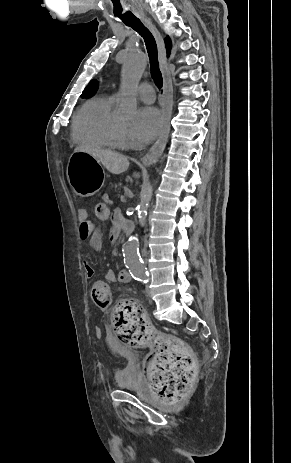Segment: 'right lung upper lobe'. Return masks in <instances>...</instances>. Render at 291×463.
<instances>
[{
  "label": "right lung upper lobe",
  "mask_w": 291,
  "mask_h": 463,
  "mask_svg": "<svg viewBox=\"0 0 291 463\" xmlns=\"http://www.w3.org/2000/svg\"><path fill=\"white\" fill-rule=\"evenodd\" d=\"M167 43H166V50H167V57L170 56V51H171V41L169 39V37L167 36Z\"/></svg>",
  "instance_id": "cb5924a9"
}]
</instances>
